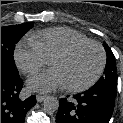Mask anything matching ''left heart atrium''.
<instances>
[{"instance_id":"39dd6f15","label":"left heart atrium","mask_w":123,"mask_h":123,"mask_svg":"<svg viewBox=\"0 0 123 123\" xmlns=\"http://www.w3.org/2000/svg\"><path fill=\"white\" fill-rule=\"evenodd\" d=\"M27 84L30 90L37 92H50L66 86L61 74L53 68L32 76Z\"/></svg>"}]
</instances>
